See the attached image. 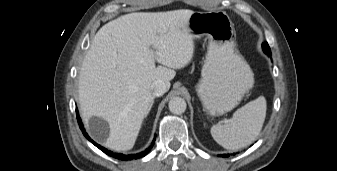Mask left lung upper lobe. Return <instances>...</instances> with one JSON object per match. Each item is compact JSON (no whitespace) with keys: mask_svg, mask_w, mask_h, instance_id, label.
Returning <instances> with one entry per match:
<instances>
[{"mask_svg":"<svg viewBox=\"0 0 337 171\" xmlns=\"http://www.w3.org/2000/svg\"><path fill=\"white\" fill-rule=\"evenodd\" d=\"M262 47H263V50H264L268 55H271L270 47H269V45H268L267 42H264V43L262 44Z\"/></svg>","mask_w":337,"mask_h":171,"instance_id":"5c2ea615","label":"left lung upper lobe"}]
</instances>
